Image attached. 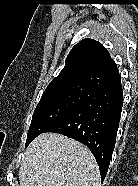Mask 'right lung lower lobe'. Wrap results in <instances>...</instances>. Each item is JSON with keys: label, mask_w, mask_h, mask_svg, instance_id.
Wrapping results in <instances>:
<instances>
[{"label": "right lung lower lobe", "mask_w": 138, "mask_h": 186, "mask_svg": "<svg viewBox=\"0 0 138 186\" xmlns=\"http://www.w3.org/2000/svg\"><path fill=\"white\" fill-rule=\"evenodd\" d=\"M123 106L122 86L92 90L88 99L46 132L60 133L86 145L94 155L103 181L115 147Z\"/></svg>", "instance_id": "1"}]
</instances>
